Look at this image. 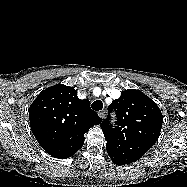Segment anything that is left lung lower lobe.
Here are the masks:
<instances>
[{"label":"left lung lower lobe","instance_id":"left-lung-lower-lobe-1","mask_svg":"<svg viewBox=\"0 0 187 187\" xmlns=\"http://www.w3.org/2000/svg\"><path fill=\"white\" fill-rule=\"evenodd\" d=\"M108 155L110 156L111 160L113 161L114 164L116 165H125L129 164V162L121 157H119L116 154L108 152Z\"/></svg>","mask_w":187,"mask_h":187}]
</instances>
